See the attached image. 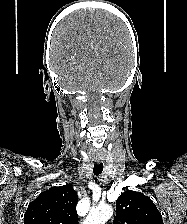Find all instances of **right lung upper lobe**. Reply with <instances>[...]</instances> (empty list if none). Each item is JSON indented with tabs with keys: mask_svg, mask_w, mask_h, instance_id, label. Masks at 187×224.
<instances>
[{
	"mask_svg": "<svg viewBox=\"0 0 187 224\" xmlns=\"http://www.w3.org/2000/svg\"><path fill=\"white\" fill-rule=\"evenodd\" d=\"M78 196L70 184L42 192L27 208L24 224H77Z\"/></svg>",
	"mask_w": 187,
	"mask_h": 224,
	"instance_id": "1",
	"label": "right lung upper lobe"
}]
</instances>
